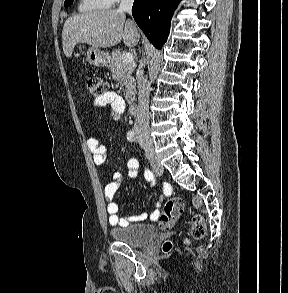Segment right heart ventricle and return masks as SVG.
I'll return each instance as SVG.
<instances>
[{
	"instance_id": "1",
	"label": "right heart ventricle",
	"mask_w": 288,
	"mask_h": 293,
	"mask_svg": "<svg viewBox=\"0 0 288 293\" xmlns=\"http://www.w3.org/2000/svg\"><path fill=\"white\" fill-rule=\"evenodd\" d=\"M109 0H80L78 9L81 12L105 10L111 6Z\"/></svg>"
}]
</instances>
